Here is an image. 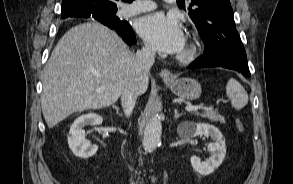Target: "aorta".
<instances>
[{"instance_id": "aorta-1", "label": "aorta", "mask_w": 293, "mask_h": 184, "mask_svg": "<svg viewBox=\"0 0 293 184\" xmlns=\"http://www.w3.org/2000/svg\"><path fill=\"white\" fill-rule=\"evenodd\" d=\"M162 123L158 115L152 117L146 125L143 137V148L146 152L153 151L161 141Z\"/></svg>"}]
</instances>
